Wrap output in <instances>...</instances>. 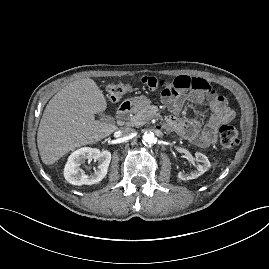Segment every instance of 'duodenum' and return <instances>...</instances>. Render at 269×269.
I'll list each match as a JSON object with an SVG mask.
<instances>
[{"mask_svg":"<svg viewBox=\"0 0 269 269\" xmlns=\"http://www.w3.org/2000/svg\"><path fill=\"white\" fill-rule=\"evenodd\" d=\"M135 108V103L132 102V101H125L123 102L117 112H116V115H117V118L119 121H122L123 118L128 115L129 113H131Z\"/></svg>","mask_w":269,"mask_h":269,"instance_id":"obj_1","label":"duodenum"}]
</instances>
